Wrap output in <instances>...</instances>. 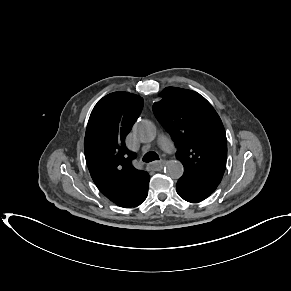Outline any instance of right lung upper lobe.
Returning <instances> with one entry per match:
<instances>
[{
	"label": "right lung upper lobe",
	"instance_id": "cb5924a9",
	"mask_svg": "<svg viewBox=\"0 0 291 291\" xmlns=\"http://www.w3.org/2000/svg\"><path fill=\"white\" fill-rule=\"evenodd\" d=\"M143 108V99L128 92H113L93 108L84 140L91 177L109 200L131 205L148 192L149 174L132 166L135 154L125 145V137Z\"/></svg>",
	"mask_w": 291,
	"mask_h": 291
}]
</instances>
